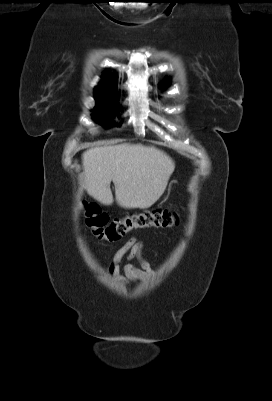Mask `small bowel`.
Listing matches in <instances>:
<instances>
[{
  "instance_id": "small-bowel-1",
  "label": "small bowel",
  "mask_w": 272,
  "mask_h": 401,
  "mask_svg": "<svg viewBox=\"0 0 272 401\" xmlns=\"http://www.w3.org/2000/svg\"><path fill=\"white\" fill-rule=\"evenodd\" d=\"M142 249L143 244L137 238L132 237L128 239L114 252L109 266L110 275L127 284L135 283L152 276L153 270L149 262L143 258ZM124 258L137 260L140 267H136L132 264H126L121 267V261Z\"/></svg>"
}]
</instances>
